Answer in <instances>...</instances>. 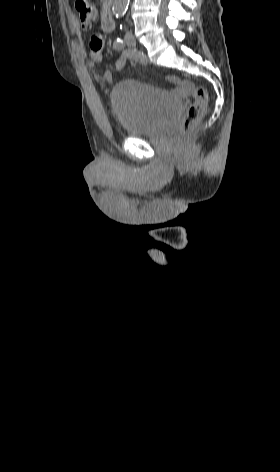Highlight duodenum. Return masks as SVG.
<instances>
[{"label": "duodenum", "mask_w": 280, "mask_h": 472, "mask_svg": "<svg viewBox=\"0 0 280 472\" xmlns=\"http://www.w3.org/2000/svg\"><path fill=\"white\" fill-rule=\"evenodd\" d=\"M102 28L107 32H111L115 28V21L111 13L110 4H106L104 7L102 14Z\"/></svg>", "instance_id": "1"}]
</instances>
